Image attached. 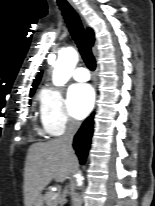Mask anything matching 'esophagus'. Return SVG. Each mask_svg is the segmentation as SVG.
<instances>
[{"label": "esophagus", "mask_w": 155, "mask_h": 206, "mask_svg": "<svg viewBox=\"0 0 155 206\" xmlns=\"http://www.w3.org/2000/svg\"><path fill=\"white\" fill-rule=\"evenodd\" d=\"M68 2L70 3V5L75 9L77 10V6L75 3L72 2V0H68Z\"/></svg>", "instance_id": "34e87169"}]
</instances>
